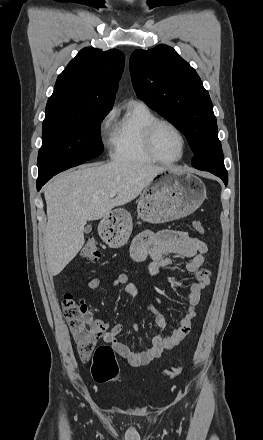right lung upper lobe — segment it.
Returning <instances> with one entry per match:
<instances>
[{
	"label": "right lung upper lobe",
	"instance_id": "obj_1",
	"mask_svg": "<svg viewBox=\"0 0 263 440\" xmlns=\"http://www.w3.org/2000/svg\"><path fill=\"white\" fill-rule=\"evenodd\" d=\"M124 62V54L117 49H82L58 76L46 116L110 111Z\"/></svg>",
	"mask_w": 263,
	"mask_h": 440
}]
</instances>
